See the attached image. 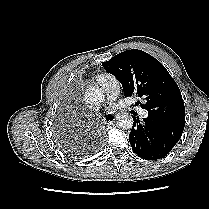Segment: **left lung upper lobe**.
I'll return each mask as SVG.
<instances>
[{
  "mask_svg": "<svg viewBox=\"0 0 209 209\" xmlns=\"http://www.w3.org/2000/svg\"><path fill=\"white\" fill-rule=\"evenodd\" d=\"M103 67L121 82L125 97L137 95L147 101L149 115L185 122L181 92L166 68L144 51L132 49L115 55Z\"/></svg>",
  "mask_w": 209,
  "mask_h": 209,
  "instance_id": "1",
  "label": "left lung upper lobe"
}]
</instances>
